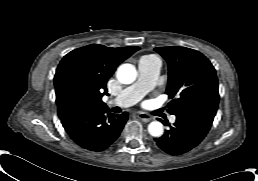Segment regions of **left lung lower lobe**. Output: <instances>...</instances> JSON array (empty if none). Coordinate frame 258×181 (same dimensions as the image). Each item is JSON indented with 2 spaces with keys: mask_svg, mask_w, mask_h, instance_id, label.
<instances>
[{
  "mask_svg": "<svg viewBox=\"0 0 258 181\" xmlns=\"http://www.w3.org/2000/svg\"><path fill=\"white\" fill-rule=\"evenodd\" d=\"M213 119L214 116L203 113L177 114L175 124L154 139L156 145L170 155L184 154L203 140Z\"/></svg>",
  "mask_w": 258,
  "mask_h": 181,
  "instance_id": "0a47b994",
  "label": "left lung lower lobe"
}]
</instances>
